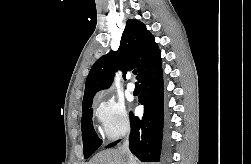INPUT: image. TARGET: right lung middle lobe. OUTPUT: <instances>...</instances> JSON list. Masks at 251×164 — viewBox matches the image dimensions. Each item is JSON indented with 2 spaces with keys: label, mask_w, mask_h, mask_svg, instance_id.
Instances as JSON below:
<instances>
[{
  "label": "right lung middle lobe",
  "mask_w": 251,
  "mask_h": 164,
  "mask_svg": "<svg viewBox=\"0 0 251 164\" xmlns=\"http://www.w3.org/2000/svg\"><path fill=\"white\" fill-rule=\"evenodd\" d=\"M92 104V103H91ZM91 104L83 107L82 114V137L84 158H89L102 144V140L98 138L92 124L93 109Z\"/></svg>",
  "instance_id": "obj_1"
}]
</instances>
